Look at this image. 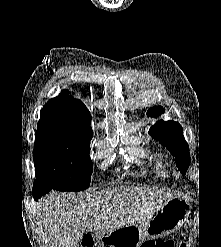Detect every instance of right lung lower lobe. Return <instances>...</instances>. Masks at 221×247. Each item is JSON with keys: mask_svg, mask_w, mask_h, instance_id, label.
<instances>
[{"mask_svg": "<svg viewBox=\"0 0 221 247\" xmlns=\"http://www.w3.org/2000/svg\"><path fill=\"white\" fill-rule=\"evenodd\" d=\"M52 189L44 184L34 182L33 187V197L34 200H38L40 197H42L44 194L48 193Z\"/></svg>", "mask_w": 221, "mask_h": 247, "instance_id": "obj_1", "label": "right lung lower lobe"}]
</instances>
